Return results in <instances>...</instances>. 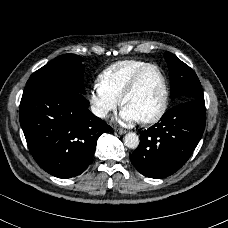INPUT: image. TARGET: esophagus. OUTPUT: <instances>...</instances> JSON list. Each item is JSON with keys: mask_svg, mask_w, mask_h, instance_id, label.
Instances as JSON below:
<instances>
[{"mask_svg": "<svg viewBox=\"0 0 228 228\" xmlns=\"http://www.w3.org/2000/svg\"><path fill=\"white\" fill-rule=\"evenodd\" d=\"M114 131L117 132L119 135H123L127 133V130L123 129V128H114Z\"/></svg>", "mask_w": 228, "mask_h": 228, "instance_id": "1", "label": "esophagus"}]
</instances>
